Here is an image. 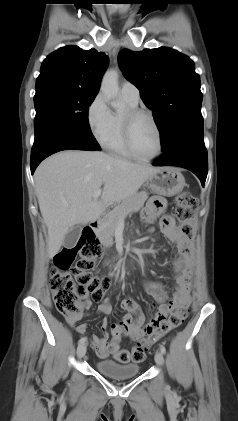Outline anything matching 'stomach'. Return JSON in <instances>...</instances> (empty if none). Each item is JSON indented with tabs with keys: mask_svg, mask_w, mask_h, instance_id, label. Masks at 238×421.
I'll return each instance as SVG.
<instances>
[{
	"mask_svg": "<svg viewBox=\"0 0 238 421\" xmlns=\"http://www.w3.org/2000/svg\"><path fill=\"white\" fill-rule=\"evenodd\" d=\"M185 184V179L181 172L169 167L159 168L146 180V185L151 190L168 197L180 193Z\"/></svg>",
	"mask_w": 238,
	"mask_h": 421,
	"instance_id": "1",
	"label": "stomach"
}]
</instances>
